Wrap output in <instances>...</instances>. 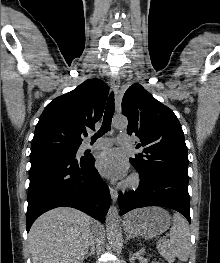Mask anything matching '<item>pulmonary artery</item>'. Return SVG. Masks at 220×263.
Returning <instances> with one entry per match:
<instances>
[{
    "label": "pulmonary artery",
    "instance_id": "1",
    "mask_svg": "<svg viewBox=\"0 0 220 263\" xmlns=\"http://www.w3.org/2000/svg\"><path fill=\"white\" fill-rule=\"evenodd\" d=\"M114 141H117L118 143L124 145H128L133 142V139L128 134L121 133L115 140L111 138H101L95 141L94 143L86 142L80 147V151L83 152L91 148H106L109 147Z\"/></svg>",
    "mask_w": 220,
    "mask_h": 263
}]
</instances>
